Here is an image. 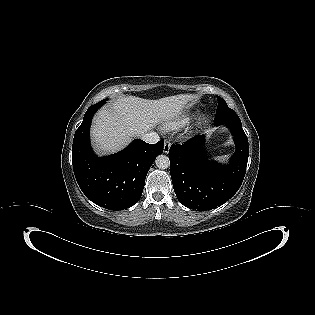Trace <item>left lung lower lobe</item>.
I'll return each instance as SVG.
<instances>
[{
	"label": "left lung lower lobe",
	"mask_w": 315,
	"mask_h": 315,
	"mask_svg": "<svg viewBox=\"0 0 315 315\" xmlns=\"http://www.w3.org/2000/svg\"><path fill=\"white\" fill-rule=\"evenodd\" d=\"M232 132L236 151L230 165L209 161L205 136L192 138L169 150L170 174L178 200L195 210H208L229 200L240 188L249 155L248 139L240 123L225 124Z\"/></svg>",
	"instance_id": "0a47b994"
}]
</instances>
